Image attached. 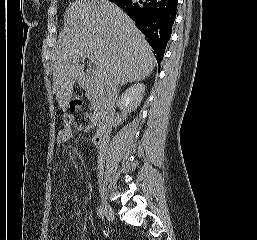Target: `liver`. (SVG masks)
Here are the masks:
<instances>
[{
  "instance_id": "1",
  "label": "liver",
  "mask_w": 257,
  "mask_h": 240,
  "mask_svg": "<svg viewBox=\"0 0 257 240\" xmlns=\"http://www.w3.org/2000/svg\"><path fill=\"white\" fill-rule=\"evenodd\" d=\"M64 22L53 65V91L63 111L76 79L84 77L86 54L93 55L103 85L115 78L119 84L140 81L153 71L156 61L150 45L114 3L77 0L66 9Z\"/></svg>"
}]
</instances>
